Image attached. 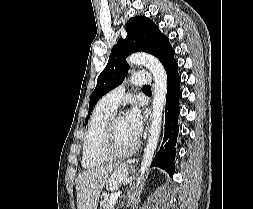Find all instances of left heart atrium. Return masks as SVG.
<instances>
[{"label":"left heart atrium","instance_id":"obj_1","mask_svg":"<svg viewBox=\"0 0 253 209\" xmlns=\"http://www.w3.org/2000/svg\"><path fill=\"white\" fill-rule=\"evenodd\" d=\"M126 126L133 137L137 140L143 129V118L138 106L133 105L125 116Z\"/></svg>","mask_w":253,"mask_h":209}]
</instances>
